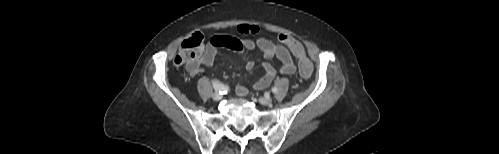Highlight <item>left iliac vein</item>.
<instances>
[{"mask_svg":"<svg viewBox=\"0 0 499 154\" xmlns=\"http://www.w3.org/2000/svg\"><path fill=\"white\" fill-rule=\"evenodd\" d=\"M259 103L262 105H269L272 103V98L270 96H264L259 98Z\"/></svg>","mask_w":499,"mask_h":154,"instance_id":"4c4485c4","label":"left iliac vein"}]
</instances>
